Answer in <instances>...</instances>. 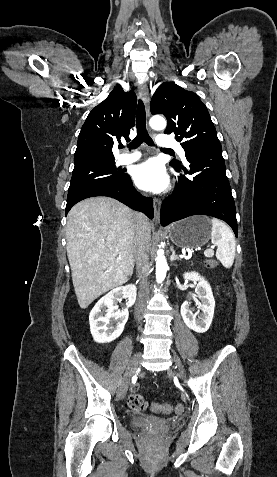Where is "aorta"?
I'll return each mask as SVG.
<instances>
[{"label": "aorta", "mask_w": 277, "mask_h": 477, "mask_svg": "<svg viewBox=\"0 0 277 477\" xmlns=\"http://www.w3.org/2000/svg\"><path fill=\"white\" fill-rule=\"evenodd\" d=\"M149 125L155 130H163L166 127V121L161 116H153L149 121ZM167 269L168 265L164 252L163 250H158L156 257V281L158 283H161L165 279Z\"/></svg>", "instance_id": "762f6f07"}]
</instances>
